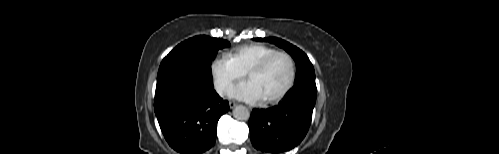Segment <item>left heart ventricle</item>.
<instances>
[{
	"mask_svg": "<svg viewBox=\"0 0 499 154\" xmlns=\"http://www.w3.org/2000/svg\"><path fill=\"white\" fill-rule=\"evenodd\" d=\"M289 74L288 60L283 56H277L263 71L251 73L248 79L257 86L265 100L276 96L284 88Z\"/></svg>",
	"mask_w": 499,
	"mask_h": 154,
	"instance_id": "1",
	"label": "left heart ventricle"
}]
</instances>
